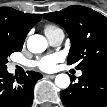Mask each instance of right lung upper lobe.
Segmentation results:
<instances>
[{
	"instance_id": "obj_1",
	"label": "right lung upper lobe",
	"mask_w": 107,
	"mask_h": 107,
	"mask_svg": "<svg viewBox=\"0 0 107 107\" xmlns=\"http://www.w3.org/2000/svg\"><path fill=\"white\" fill-rule=\"evenodd\" d=\"M41 14H29L10 7L0 8V35L16 48H22L30 29L41 20Z\"/></svg>"
}]
</instances>
